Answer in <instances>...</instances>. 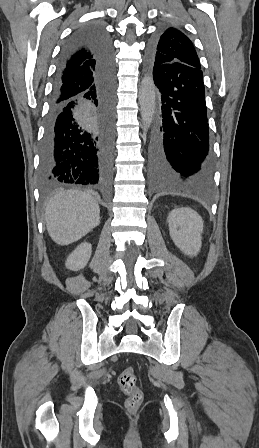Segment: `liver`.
<instances>
[{
	"label": "liver",
	"mask_w": 259,
	"mask_h": 448,
	"mask_svg": "<svg viewBox=\"0 0 259 448\" xmlns=\"http://www.w3.org/2000/svg\"><path fill=\"white\" fill-rule=\"evenodd\" d=\"M46 226L60 246L77 242L100 222V208L87 192L62 190L46 206Z\"/></svg>",
	"instance_id": "obj_1"
}]
</instances>
